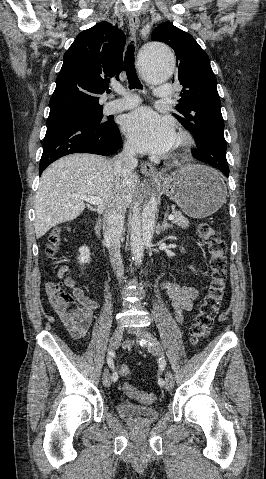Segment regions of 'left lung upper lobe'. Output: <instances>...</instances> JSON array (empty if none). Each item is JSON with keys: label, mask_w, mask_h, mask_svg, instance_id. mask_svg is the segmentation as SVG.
I'll use <instances>...</instances> for the list:
<instances>
[{"label": "left lung upper lobe", "mask_w": 266, "mask_h": 479, "mask_svg": "<svg viewBox=\"0 0 266 479\" xmlns=\"http://www.w3.org/2000/svg\"><path fill=\"white\" fill-rule=\"evenodd\" d=\"M151 38L168 44L176 54L179 66L173 82L179 81L183 89L176 106L180 115H173L194 136L193 156L217 168L228 167L221 101L208 55L189 33L170 22L158 25Z\"/></svg>", "instance_id": "obj_1"}]
</instances>
